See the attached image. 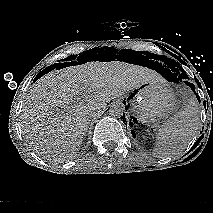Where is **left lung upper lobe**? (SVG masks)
I'll return each instance as SVG.
<instances>
[{
	"mask_svg": "<svg viewBox=\"0 0 213 213\" xmlns=\"http://www.w3.org/2000/svg\"><path fill=\"white\" fill-rule=\"evenodd\" d=\"M167 66L171 69L173 75L179 80L188 78L185 71L180 67L179 63H177L173 59H165Z\"/></svg>",
	"mask_w": 213,
	"mask_h": 213,
	"instance_id": "obj_1",
	"label": "left lung upper lobe"
}]
</instances>
